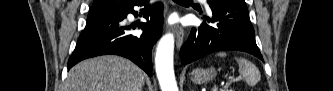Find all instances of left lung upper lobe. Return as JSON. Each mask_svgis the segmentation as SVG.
Here are the masks:
<instances>
[{"label": "left lung upper lobe", "instance_id": "5c2ea615", "mask_svg": "<svg viewBox=\"0 0 333 91\" xmlns=\"http://www.w3.org/2000/svg\"><path fill=\"white\" fill-rule=\"evenodd\" d=\"M212 1H214V0H208V3L212 2Z\"/></svg>", "mask_w": 333, "mask_h": 91}]
</instances>
